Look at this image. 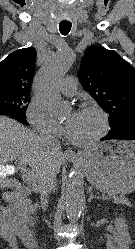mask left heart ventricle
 Masks as SVG:
<instances>
[{
  "label": "left heart ventricle",
  "mask_w": 135,
  "mask_h": 249,
  "mask_svg": "<svg viewBox=\"0 0 135 249\" xmlns=\"http://www.w3.org/2000/svg\"><path fill=\"white\" fill-rule=\"evenodd\" d=\"M68 133L78 141L89 140L101 129V120L97 113L89 109H81L67 116Z\"/></svg>",
  "instance_id": "b2bd125f"
}]
</instances>
